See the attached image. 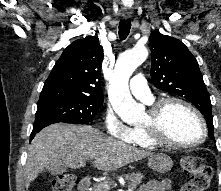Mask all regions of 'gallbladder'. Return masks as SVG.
Segmentation results:
<instances>
[{
	"label": "gallbladder",
	"instance_id": "gallbladder-1",
	"mask_svg": "<svg viewBox=\"0 0 221 191\" xmlns=\"http://www.w3.org/2000/svg\"><path fill=\"white\" fill-rule=\"evenodd\" d=\"M46 170L52 175H58L66 172L67 166L63 162L50 163L46 166Z\"/></svg>",
	"mask_w": 221,
	"mask_h": 191
}]
</instances>
